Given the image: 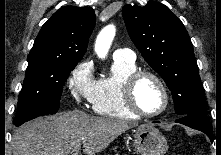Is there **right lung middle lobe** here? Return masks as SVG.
Segmentation results:
<instances>
[{
    "label": "right lung middle lobe",
    "instance_id": "1",
    "mask_svg": "<svg viewBox=\"0 0 221 155\" xmlns=\"http://www.w3.org/2000/svg\"><path fill=\"white\" fill-rule=\"evenodd\" d=\"M28 67L18 101L15 125L55 113L59 109L62 86L77 63L57 60H27Z\"/></svg>",
    "mask_w": 221,
    "mask_h": 155
}]
</instances>
